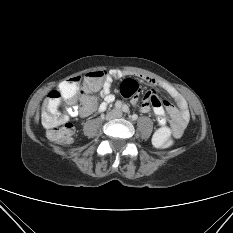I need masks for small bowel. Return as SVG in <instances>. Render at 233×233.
<instances>
[{
  "instance_id": "obj_1",
  "label": "small bowel",
  "mask_w": 233,
  "mask_h": 233,
  "mask_svg": "<svg viewBox=\"0 0 233 233\" xmlns=\"http://www.w3.org/2000/svg\"><path fill=\"white\" fill-rule=\"evenodd\" d=\"M125 74L126 73L121 70L109 71L105 75L104 81L99 89V103L96 104L93 100L89 101L81 96L80 105L73 108L71 114L73 116L79 115L81 117H88L96 108L99 111H105L107 105L114 101L115 98L111 93V85L113 81L122 78ZM143 79L152 86V89L144 96L139 109L143 113H147L152 110L156 115L157 123L161 128L165 127L167 122H169L174 136L181 137L189 119V111L185 99L175 87L167 83L160 82L149 77H143ZM156 89L165 91L173 99L175 105L168 101L161 102ZM130 97L132 104L137 105L139 101L137 92L132 94Z\"/></svg>"
}]
</instances>
